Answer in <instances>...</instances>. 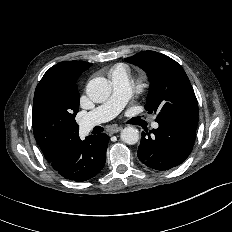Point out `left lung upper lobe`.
Returning <instances> with one entry per match:
<instances>
[{
  "instance_id": "obj_1",
  "label": "left lung upper lobe",
  "mask_w": 232,
  "mask_h": 232,
  "mask_svg": "<svg viewBox=\"0 0 232 232\" xmlns=\"http://www.w3.org/2000/svg\"><path fill=\"white\" fill-rule=\"evenodd\" d=\"M126 62L142 68L149 78L145 108L158 114L156 120L169 115L198 116V104L190 81L179 63L155 51H142Z\"/></svg>"
}]
</instances>
